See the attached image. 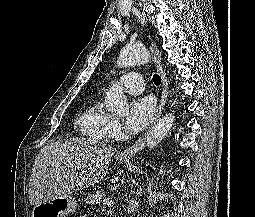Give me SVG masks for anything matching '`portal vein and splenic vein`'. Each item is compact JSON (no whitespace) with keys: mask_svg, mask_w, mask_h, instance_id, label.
I'll return each mask as SVG.
<instances>
[{"mask_svg":"<svg viewBox=\"0 0 255 217\" xmlns=\"http://www.w3.org/2000/svg\"><path fill=\"white\" fill-rule=\"evenodd\" d=\"M104 202H105V204H106L107 206H112V204H113V201H112V200H109V199H106Z\"/></svg>","mask_w":255,"mask_h":217,"instance_id":"18ae733b","label":"portal vein and splenic vein"}]
</instances>
